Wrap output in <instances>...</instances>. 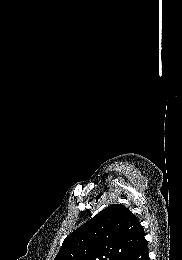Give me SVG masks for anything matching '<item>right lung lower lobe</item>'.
Segmentation results:
<instances>
[{"instance_id": "98d812e1", "label": "right lung lower lobe", "mask_w": 182, "mask_h": 260, "mask_svg": "<svg viewBox=\"0 0 182 260\" xmlns=\"http://www.w3.org/2000/svg\"><path fill=\"white\" fill-rule=\"evenodd\" d=\"M126 260H150L148 256L147 242L133 252Z\"/></svg>"}]
</instances>
